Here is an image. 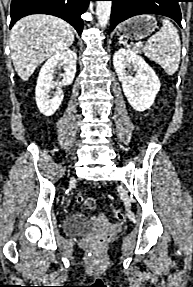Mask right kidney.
Instances as JSON below:
<instances>
[{
  "instance_id": "1",
  "label": "right kidney",
  "mask_w": 193,
  "mask_h": 287,
  "mask_svg": "<svg viewBox=\"0 0 193 287\" xmlns=\"http://www.w3.org/2000/svg\"><path fill=\"white\" fill-rule=\"evenodd\" d=\"M77 54L74 51H65L51 56L42 66L36 85V103L39 111L44 116L53 115L63 101L62 86L72 84L76 73ZM57 67H63L62 81L56 83L54 71ZM57 89L54 97L50 96V89Z\"/></svg>"
}]
</instances>
